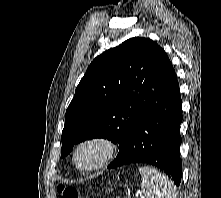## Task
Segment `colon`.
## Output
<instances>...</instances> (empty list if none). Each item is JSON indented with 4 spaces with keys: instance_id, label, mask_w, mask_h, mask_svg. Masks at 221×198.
<instances>
[{
    "instance_id": "5ec220e1",
    "label": "colon",
    "mask_w": 221,
    "mask_h": 198,
    "mask_svg": "<svg viewBox=\"0 0 221 198\" xmlns=\"http://www.w3.org/2000/svg\"><path fill=\"white\" fill-rule=\"evenodd\" d=\"M58 191L61 195V198H81L79 192L70 186L60 185Z\"/></svg>"
}]
</instances>
